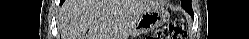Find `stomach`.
Segmentation results:
<instances>
[{
    "label": "stomach",
    "instance_id": "1",
    "mask_svg": "<svg viewBox=\"0 0 249 39\" xmlns=\"http://www.w3.org/2000/svg\"><path fill=\"white\" fill-rule=\"evenodd\" d=\"M169 19L167 10L161 7L151 9L141 14L134 22L132 36H138L162 26Z\"/></svg>",
    "mask_w": 249,
    "mask_h": 39
}]
</instances>
